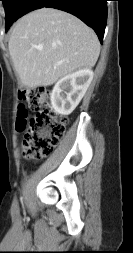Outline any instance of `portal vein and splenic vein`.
Returning <instances> with one entry per match:
<instances>
[{"mask_svg": "<svg viewBox=\"0 0 133 253\" xmlns=\"http://www.w3.org/2000/svg\"><path fill=\"white\" fill-rule=\"evenodd\" d=\"M37 50H38V51H42V50H43V47L38 46V47H37Z\"/></svg>", "mask_w": 133, "mask_h": 253, "instance_id": "1", "label": "portal vein and splenic vein"}]
</instances>
